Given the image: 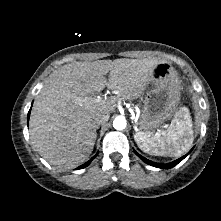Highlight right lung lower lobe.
Returning a JSON list of instances; mask_svg holds the SVG:
<instances>
[{
    "label": "right lung lower lobe",
    "mask_w": 221,
    "mask_h": 221,
    "mask_svg": "<svg viewBox=\"0 0 221 221\" xmlns=\"http://www.w3.org/2000/svg\"><path fill=\"white\" fill-rule=\"evenodd\" d=\"M30 111H31V109H30ZM30 111H29V113H28V119H29V116H30ZM94 158H95V156L92 157V158H91L89 161H87L85 164L79 166L77 169H82V168L87 167V166L91 163V161H92Z\"/></svg>",
    "instance_id": "right-lung-lower-lobe-1"
}]
</instances>
